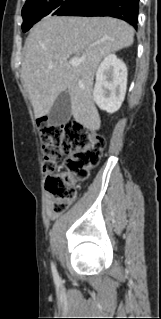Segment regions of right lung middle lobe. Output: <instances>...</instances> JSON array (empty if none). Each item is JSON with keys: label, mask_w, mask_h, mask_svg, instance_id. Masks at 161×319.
I'll list each match as a JSON object with an SVG mask.
<instances>
[{"label": "right lung middle lobe", "mask_w": 161, "mask_h": 319, "mask_svg": "<svg viewBox=\"0 0 161 319\" xmlns=\"http://www.w3.org/2000/svg\"><path fill=\"white\" fill-rule=\"evenodd\" d=\"M86 0H27L22 9L24 32L48 15H68Z\"/></svg>", "instance_id": "right-lung-middle-lobe-1"}]
</instances>
